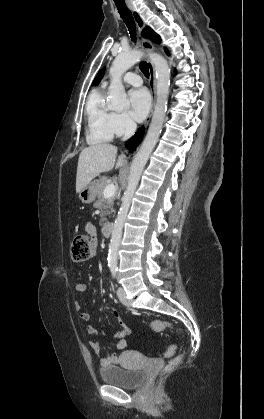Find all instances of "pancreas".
Segmentation results:
<instances>
[{
  "instance_id": "pancreas-1",
  "label": "pancreas",
  "mask_w": 264,
  "mask_h": 419,
  "mask_svg": "<svg viewBox=\"0 0 264 419\" xmlns=\"http://www.w3.org/2000/svg\"><path fill=\"white\" fill-rule=\"evenodd\" d=\"M109 184V180L106 176L99 177L98 184H97V201L95 202V207L103 210L101 213L102 222L105 221V216L110 215L112 212V206L114 204V200L116 196L113 195L111 197L105 198L104 197V189ZM110 209V210H109Z\"/></svg>"
}]
</instances>
